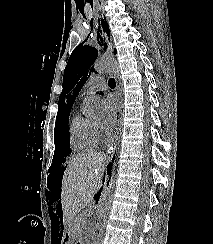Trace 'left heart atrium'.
I'll return each mask as SVG.
<instances>
[{
    "label": "left heart atrium",
    "mask_w": 213,
    "mask_h": 244,
    "mask_svg": "<svg viewBox=\"0 0 213 244\" xmlns=\"http://www.w3.org/2000/svg\"><path fill=\"white\" fill-rule=\"evenodd\" d=\"M104 127L110 129L114 126L116 122V114H117V101L109 96L104 100Z\"/></svg>",
    "instance_id": "left-heart-atrium-1"
}]
</instances>
